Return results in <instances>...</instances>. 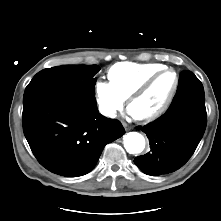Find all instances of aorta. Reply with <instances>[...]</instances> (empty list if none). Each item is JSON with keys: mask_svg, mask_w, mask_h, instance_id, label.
I'll list each match as a JSON object with an SVG mask.
<instances>
[{"mask_svg": "<svg viewBox=\"0 0 221 221\" xmlns=\"http://www.w3.org/2000/svg\"><path fill=\"white\" fill-rule=\"evenodd\" d=\"M124 147L131 154L141 153L145 148V138L138 132H129L123 137Z\"/></svg>", "mask_w": 221, "mask_h": 221, "instance_id": "762f6f07", "label": "aorta"}]
</instances>
